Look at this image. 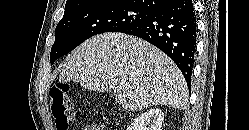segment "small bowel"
Segmentation results:
<instances>
[{
    "instance_id": "small-bowel-1",
    "label": "small bowel",
    "mask_w": 249,
    "mask_h": 130,
    "mask_svg": "<svg viewBox=\"0 0 249 130\" xmlns=\"http://www.w3.org/2000/svg\"><path fill=\"white\" fill-rule=\"evenodd\" d=\"M81 130H105V127L101 124H88L85 125Z\"/></svg>"
}]
</instances>
